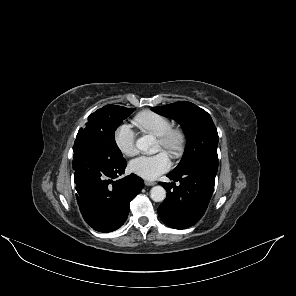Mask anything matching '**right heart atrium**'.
Segmentation results:
<instances>
[{"label": "right heart atrium", "mask_w": 296, "mask_h": 296, "mask_svg": "<svg viewBox=\"0 0 296 296\" xmlns=\"http://www.w3.org/2000/svg\"><path fill=\"white\" fill-rule=\"evenodd\" d=\"M114 143L117 149L126 156H133L136 153V135L128 124L119 125L114 131Z\"/></svg>", "instance_id": "obj_1"}]
</instances>
